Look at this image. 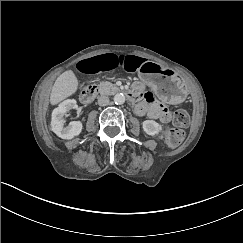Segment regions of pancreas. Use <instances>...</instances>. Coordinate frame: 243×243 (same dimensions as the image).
<instances>
[{"label": "pancreas", "mask_w": 243, "mask_h": 243, "mask_svg": "<svg viewBox=\"0 0 243 243\" xmlns=\"http://www.w3.org/2000/svg\"><path fill=\"white\" fill-rule=\"evenodd\" d=\"M98 90L100 93H106L107 95L119 90V88L108 81H101L98 84Z\"/></svg>", "instance_id": "cf45deb5"}]
</instances>
